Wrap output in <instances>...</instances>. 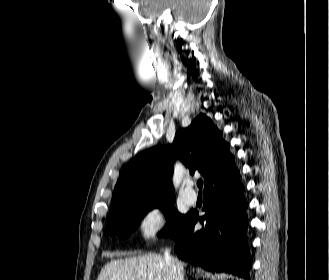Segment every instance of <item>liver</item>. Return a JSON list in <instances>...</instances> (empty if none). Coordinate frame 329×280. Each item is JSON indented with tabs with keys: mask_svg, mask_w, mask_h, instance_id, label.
<instances>
[{
	"mask_svg": "<svg viewBox=\"0 0 329 280\" xmlns=\"http://www.w3.org/2000/svg\"><path fill=\"white\" fill-rule=\"evenodd\" d=\"M179 263L182 269L185 264ZM170 267L162 255L146 254L138 257L111 260L100 271L97 280H172Z\"/></svg>",
	"mask_w": 329,
	"mask_h": 280,
	"instance_id": "liver-1",
	"label": "liver"
}]
</instances>
